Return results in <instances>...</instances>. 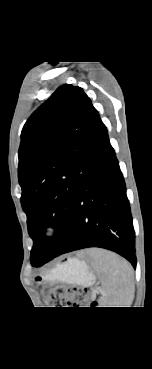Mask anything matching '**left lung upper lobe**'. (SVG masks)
<instances>
[{"label":"left lung upper lobe","mask_w":152,"mask_h":369,"mask_svg":"<svg viewBox=\"0 0 152 369\" xmlns=\"http://www.w3.org/2000/svg\"><path fill=\"white\" fill-rule=\"evenodd\" d=\"M99 119L83 89L65 84L23 127L18 178L33 239L30 261L34 267L55 256L71 227L84 155ZM50 225L55 235L45 240L44 231Z\"/></svg>","instance_id":"left-lung-upper-lobe-1"}]
</instances>
